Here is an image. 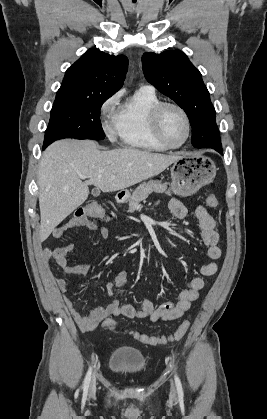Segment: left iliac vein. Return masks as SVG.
Segmentation results:
<instances>
[{
    "mask_svg": "<svg viewBox=\"0 0 267 419\" xmlns=\"http://www.w3.org/2000/svg\"><path fill=\"white\" fill-rule=\"evenodd\" d=\"M171 395L175 396L176 395V390L173 384H171Z\"/></svg>",
    "mask_w": 267,
    "mask_h": 419,
    "instance_id": "4c4485c4",
    "label": "left iliac vein"
}]
</instances>
